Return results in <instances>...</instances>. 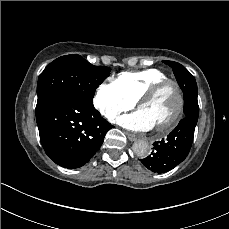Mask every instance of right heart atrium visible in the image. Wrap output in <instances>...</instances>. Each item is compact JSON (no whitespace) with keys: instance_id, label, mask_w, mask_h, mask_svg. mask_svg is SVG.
Returning <instances> with one entry per match:
<instances>
[{"instance_id":"obj_1","label":"right heart atrium","mask_w":229,"mask_h":229,"mask_svg":"<svg viewBox=\"0 0 229 229\" xmlns=\"http://www.w3.org/2000/svg\"><path fill=\"white\" fill-rule=\"evenodd\" d=\"M93 104L101 115L113 121L120 113L133 109L135 101L126 95L116 81H105L97 87Z\"/></svg>"}]
</instances>
